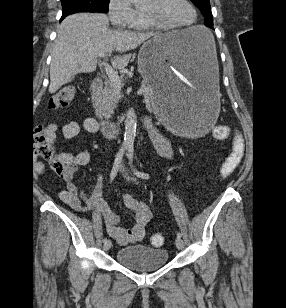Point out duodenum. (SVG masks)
I'll return each mask as SVG.
<instances>
[{
	"instance_id": "obj_1",
	"label": "duodenum",
	"mask_w": 286,
	"mask_h": 308,
	"mask_svg": "<svg viewBox=\"0 0 286 308\" xmlns=\"http://www.w3.org/2000/svg\"><path fill=\"white\" fill-rule=\"evenodd\" d=\"M103 87V80L101 78H95L92 81L91 89L94 93L100 91ZM143 123L147 124L149 121L148 119H143ZM99 127L102 133L107 137H113L119 135L122 131V123L120 122H113L107 120H100Z\"/></svg>"
}]
</instances>
